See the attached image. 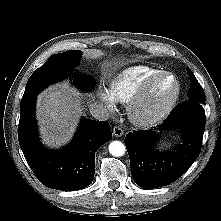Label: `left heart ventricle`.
<instances>
[{
    "instance_id": "b2bd125f",
    "label": "left heart ventricle",
    "mask_w": 221,
    "mask_h": 221,
    "mask_svg": "<svg viewBox=\"0 0 221 221\" xmlns=\"http://www.w3.org/2000/svg\"><path fill=\"white\" fill-rule=\"evenodd\" d=\"M175 84L172 78L165 77L157 81L144 99L140 112L149 114L159 109L172 95Z\"/></svg>"
}]
</instances>
